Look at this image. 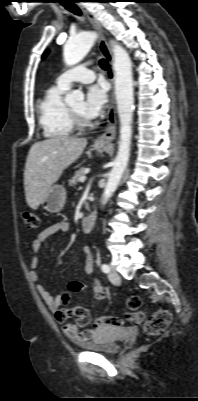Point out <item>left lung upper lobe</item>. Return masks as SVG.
Instances as JSON below:
<instances>
[{
  "label": "left lung upper lobe",
  "mask_w": 198,
  "mask_h": 401,
  "mask_svg": "<svg viewBox=\"0 0 198 401\" xmlns=\"http://www.w3.org/2000/svg\"><path fill=\"white\" fill-rule=\"evenodd\" d=\"M48 54V50L44 52L43 54V58H45V56Z\"/></svg>",
  "instance_id": "obj_1"
}]
</instances>
